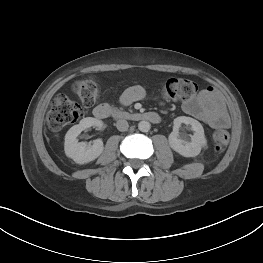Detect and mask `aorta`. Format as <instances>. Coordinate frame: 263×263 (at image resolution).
Instances as JSON below:
<instances>
[{
  "mask_svg": "<svg viewBox=\"0 0 263 263\" xmlns=\"http://www.w3.org/2000/svg\"><path fill=\"white\" fill-rule=\"evenodd\" d=\"M151 128V124L148 121H140L138 123V129L141 132H148Z\"/></svg>",
  "mask_w": 263,
  "mask_h": 263,
  "instance_id": "1",
  "label": "aorta"
}]
</instances>
